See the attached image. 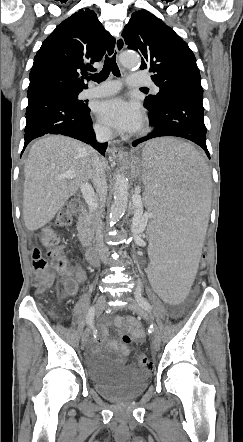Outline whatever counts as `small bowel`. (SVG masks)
Wrapping results in <instances>:
<instances>
[{
    "mask_svg": "<svg viewBox=\"0 0 243 442\" xmlns=\"http://www.w3.org/2000/svg\"><path fill=\"white\" fill-rule=\"evenodd\" d=\"M86 279V273L78 261H75L71 267L70 272L62 280V292L64 295H75L78 291L79 285ZM114 326L118 330H126L133 337L135 341H141L144 338V331L141 324L132 316L116 317L114 319ZM99 343H103L111 351H119L122 356L129 354L128 346L120 343L118 340L109 336L108 321L102 320L99 325Z\"/></svg>",
    "mask_w": 243,
    "mask_h": 442,
    "instance_id": "c3829d8e",
    "label": "small bowel"
}]
</instances>
